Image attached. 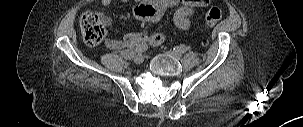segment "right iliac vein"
Listing matches in <instances>:
<instances>
[{
	"label": "right iliac vein",
	"mask_w": 303,
	"mask_h": 127,
	"mask_svg": "<svg viewBox=\"0 0 303 127\" xmlns=\"http://www.w3.org/2000/svg\"><path fill=\"white\" fill-rule=\"evenodd\" d=\"M143 61H144V57H143L142 54H138V55H136L135 58H134V62H135L136 64H141V63H143Z\"/></svg>",
	"instance_id": "right-iliac-vein-1"
}]
</instances>
